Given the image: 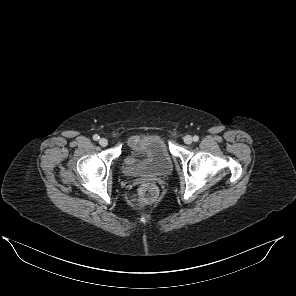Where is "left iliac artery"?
<instances>
[{
  "instance_id": "44dca946",
  "label": "left iliac artery",
  "mask_w": 296,
  "mask_h": 296,
  "mask_svg": "<svg viewBox=\"0 0 296 296\" xmlns=\"http://www.w3.org/2000/svg\"><path fill=\"white\" fill-rule=\"evenodd\" d=\"M193 140H194L195 142H197V141L199 140V137H198L197 135H195V136L193 137Z\"/></svg>"
}]
</instances>
